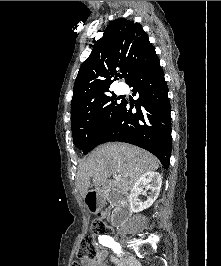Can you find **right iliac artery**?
Returning <instances> with one entry per match:
<instances>
[{"label":"right iliac artery","mask_w":221,"mask_h":266,"mask_svg":"<svg viewBox=\"0 0 221 266\" xmlns=\"http://www.w3.org/2000/svg\"><path fill=\"white\" fill-rule=\"evenodd\" d=\"M99 241L103 246L111 248L115 253H121V245L115 242L110 236H100Z\"/></svg>","instance_id":"82829eb1"}]
</instances>
